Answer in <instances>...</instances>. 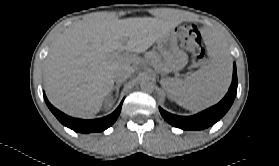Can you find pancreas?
<instances>
[{"instance_id":"obj_1","label":"pancreas","mask_w":279,"mask_h":166,"mask_svg":"<svg viewBox=\"0 0 279 166\" xmlns=\"http://www.w3.org/2000/svg\"><path fill=\"white\" fill-rule=\"evenodd\" d=\"M146 59L149 60L152 64L156 65L157 67L161 68L162 64L160 62L159 55L156 52H148L146 54Z\"/></svg>"}]
</instances>
